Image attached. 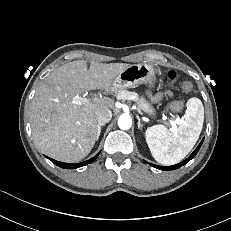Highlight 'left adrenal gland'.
Instances as JSON below:
<instances>
[{"label":"left adrenal gland","mask_w":231,"mask_h":231,"mask_svg":"<svg viewBox=\"0 0 231 231\" xmlns=\"http://www.w3.org/2000/svg\"><path fill=\"white\" fill-rule=\"evenodd\" d=\"M137 119H138V129H140V130H141V128H142V124H141V122H140V118H139V117H137Z\"/></svg>","instance_id":"a2214340"}]
</instances>
